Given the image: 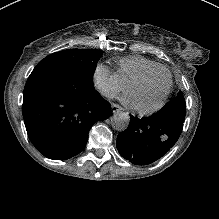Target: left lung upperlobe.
<instances>
[{"label":"left lung upper lobe","instance_id":"1","mask_svg":"<svg viewBox=\"0 0 219 219\" xmlns=\"http://www.w3.org/2000/svg\"><path fill=\"white\" fill-rule=\"evenodd\" d=\"M158 115L172 117L178 121L184 122L185 119V99L180 92L178 96L166 104L159 112Z\"/></svg>","mask_w":219,"mask_h":219}]
</instances>
